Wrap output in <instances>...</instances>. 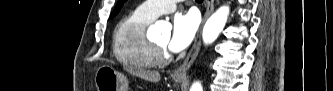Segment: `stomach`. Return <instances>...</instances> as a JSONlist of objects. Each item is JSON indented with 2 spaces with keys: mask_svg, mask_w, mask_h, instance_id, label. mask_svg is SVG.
I'll use <instances>...</instances> for the list:
<instances>
[{
  "mask_svg": "<svg viewBox=\"0 0 333 91\" xmlns=\"http://www.w3.org/2000/svg\"><path fill=\"white\" fill-rule=\"evenodd\" d=\"M183 78H175V82H181ZM95 86L97 91H128L129 81L127 77L108 65L99 67L95 74Z\"/></svg>",
  "mask_w": 333,
  "mask_h": 91,
  "instance_id": "obj_1",
  "label": "stomach"
}]
</instances>
